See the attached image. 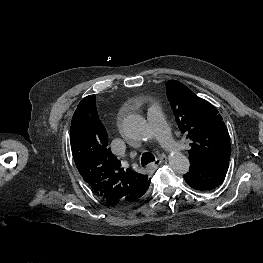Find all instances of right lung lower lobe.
Here are the masks:
<instances>
[{
  "instance_id": "right-lung-lower-lobe-1",
  "label": "right lung lower lobe",
  "mask_w": 263,
  "mask_h": 263,
  "mask_svg": "<svg viewBox=\"0 0 263 263\" xmlns=\"http://www.w3.org/2000/svg\"><path fill=\"white\" fill-rule=\"evenodd\" d=\"M148 187H149V185H148L147 187H145V188L141 191L139 197H138L135 201H133V202L130 203L129 205L122 206L121 208H130V207L134 206V205L141 199V197L145 194V192L147 191Z\"/></svg>"
}]
</instances>
